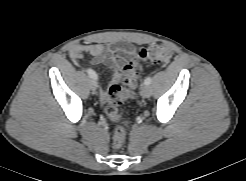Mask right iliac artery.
<instances>
[{"label":"right iliac artery","instance_id":"right-iliac-artery-1","mask_svg":"<svg viewBox=\"0 0 246 181\" xmlns=\"http://www.w3.org/2000/svg\"><path fill=\"white\" fill-rule=\"evenodd\" d=\"M86 71H87L88 75H89L92 79H94V80H97V79H98V76H97V74H96V72H95L94 70H92V69H87Z\"/></svg>","mask_w":246,"mask_h":181}]
</instances>
